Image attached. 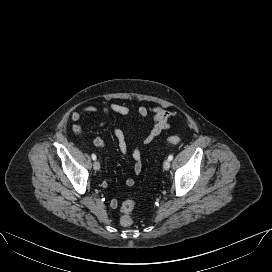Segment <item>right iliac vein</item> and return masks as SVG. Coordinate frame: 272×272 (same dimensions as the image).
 Listing matches in <instances>:
<instances>
[{"label": "right iliac vein", "mask_w": 272, "mask_h": 272, "mask_svg": "<svg viewBox=\"0 0 272 272\" xmlns=\"http://www.w3.org/2000/svg\"><path fill=\"white\" fill-rule=\"evenodd\" d=\"M93 168H94L96 171H98V170L100 169V163H99V161H94V163H93Z\"/></svg>", "instance_id": "1"}]
</instances>
